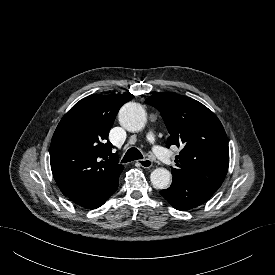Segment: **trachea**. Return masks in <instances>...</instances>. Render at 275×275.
I'll list each match as a JSON object with an SVG mask.
<instances>
[{"mask_svg": "<svg viewBox=\"0 0 275 275\" xmlns=\"http://www.w3.org/2000/svg\"><path fill=\"white\" fill-rule=\"evenodd\" d=\"M143 159V155L137 148H130L122 159V163L130 162L133 160Z\"/></svg>", "mask_w": 275, "mask_h": 275, "instance_id": "3493384b", "label": "trachea"}]
</instances>
